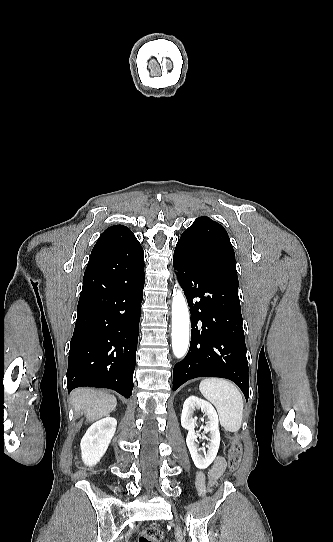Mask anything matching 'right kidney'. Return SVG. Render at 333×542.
I'll return each instance as SVG.
<instances>
[{
  "label": "right kidney",
  "instance_id": "right-kidney-1",
  "mask_svg": "<svg viewBox=\"0 0 333 542\" xmlns=\"http://www.w3.org/2000/svg\"><path fill=\"white\" fill-rule=\"evenodd\" d=\"M116 426L115 418H103L88 428L80 444L85 466H96L100 462L116 432Z\"/></svg>",
  "mask_w": 333,
  "mask_h": 542
}]
</instances>
